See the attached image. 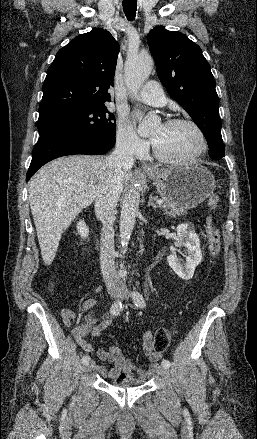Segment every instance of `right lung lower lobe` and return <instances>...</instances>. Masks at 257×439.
Wrapping results in <instances>:
<instances>
[{
    "label": "right lung lower lobe",
    "instance_id": "right-lung-lower-lobe-1",
    "mask_svg": "<svg viewBox=\"0 0 257 439\" xmlns=\"http://www.w3.org/2000/svg\"><path fill=\"white\" fill-rule=\"evenodd\" d=\"M114 143L115 140L97 134L69 129L41 135L32 153L26 181H29L41 166L55 158L71 154H104Z\"/></svg>",
    "mask_w": 257,
    "mask_h": 439
}]
</instances>
